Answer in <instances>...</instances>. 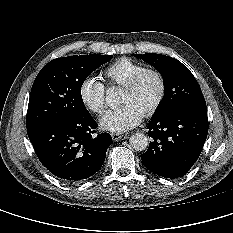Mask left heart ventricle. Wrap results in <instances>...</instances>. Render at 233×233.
Segmentation results:
<instances>
[{
    "label": "left heart ventricle",
    "instance_id": "obj_1",
    "mask_svg": "<svg viewBox=\"0 0 233 233\" xmlns=\"http://www.w3.org/2000/svg\"><path fill=\"white\" fill-rule=\"evenodd\" d=\"M159 83L154 76H147L134 90L122 92L121 104H132L144 113L158 95Z\"/></svg>",
    "mask_w": 233,
    "mask_h": 233
}]
</instances>
